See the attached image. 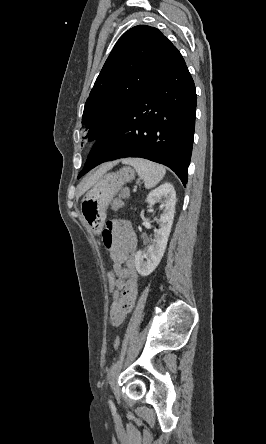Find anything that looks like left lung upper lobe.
Listing matches in <instances>:
<instances>
[{"mask_svg": "<svg viewBox=\"0 0 266 444\" xmlns=\"http://www.w3.org/2000/svg\"><path fill=\"white\" fill-rule=\"evenodd\" d=\"M182 61L180 52L158 29L138 25L125 32L113 47L85 103V138L99 139Z\"/></svg>", "mask_w": 266, "mask_h": 444, "instance_id": "left-lung-upper-lobe-1", "label": "left lung upper lobe"}]
</instances>
